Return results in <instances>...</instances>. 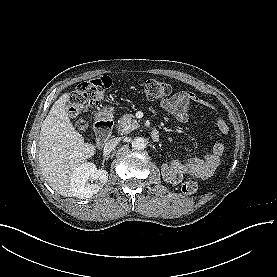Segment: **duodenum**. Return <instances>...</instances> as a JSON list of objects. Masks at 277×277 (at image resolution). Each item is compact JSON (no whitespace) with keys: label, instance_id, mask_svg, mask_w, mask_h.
Instances as JSON below:
<instances>
[{"label":"duodenum","instance_id":"1","mask_svg":"<svg viewBox=\"0 0 277 277\" xmlns=\"http://www.w3.org/2000/svg\"><path fill=\"white\" fill-rule=\"evenodd\" d=\"M98 116L99 119L95 123L94 130L97 136V143L102 145L110 138L114 122L112 119L106 118L103 112H99ZM150 136L155 142L160 139V133L157 129H153Z\"/></svg>","mask_w":277,"mask_h":277}]
</instances>
